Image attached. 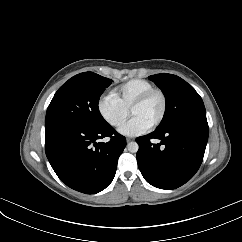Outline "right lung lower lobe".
<instances>
[{
  "mask_svg": "<svg viewBox=\"0 0 242 242\" xmlns=\"http://www.w3.org/2000/svg\"><path fill=\"white\" fill-rule=\"evenodd\" d=\"M110 137L107 143L97 142ZM125 137L109 124L93 127L75 122L45 126L46 156L60 180L86 194L105 189L113 180Z\"/></svg>",
  "mask_w": 242,
  "mask_h": 242,
  "instance_id": "obj_1",
  "label": "right lung lower lobe"
}]
</instances>
